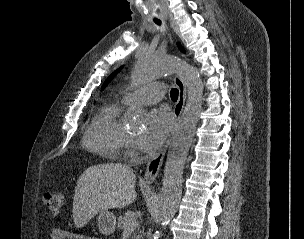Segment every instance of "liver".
Returning <instances> with one entry per match:
<instances>
[{
    "label": "liver",
    "instance_id": "6515ba94",
    "mask_svg": "<svg viewBox=\"0 0 304 239\" xmlns=\"http://www.w3.org/2000/svg\"><path fill=\"white\" fill-rule=\"evenodd\" d=\"M135 182L133 169L120 163L87 168L75 187L72 210L75 227H83L100 212L133 203L137 198Z\"/></svg>",
    "mask_w": 304,
    "mask_h": 239
}]
</instances>
